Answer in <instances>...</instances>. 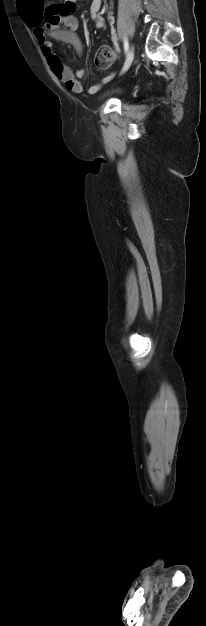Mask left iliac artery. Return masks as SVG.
Returning <instances> with one entry per match:
<instances>
[{"instance_id":"obj_1","label":"left iliac artery","mask_w":206,"mask_h":626,"mask_svg":"<svg viewBox=\"0 0 206 626\" xmlns=\"http://www.w3.org/2000/svg\"><path fill=\"white\" fill-rule=\"evenodd\" d=\"M129 48V44H128V40L126 39V37L124 38V51L125 53H127Z\"/></svg>"}]
</instances>
